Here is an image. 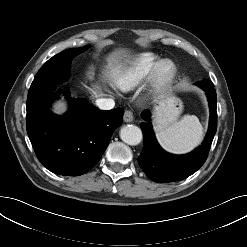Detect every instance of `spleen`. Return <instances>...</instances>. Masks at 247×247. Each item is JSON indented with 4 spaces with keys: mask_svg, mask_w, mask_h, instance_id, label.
<instances>
[{
    "mask_svg": "<svg viewBox=\"0 0 247 247\" xmlns=\"http://www.w3.org/2000/svg\"><path fill=\"white\" fill-rule=\"evenodd\" d=\"M203 127L195 115H184L179 121L158 131L157 140L168 152L183 154L195 148L202 140Z\"/></svg>",
    "mask_w": 247,
    "mask_h": 247,
    "instance_id": "obj_1",
    "label": "spleen"
}]
</instances>
